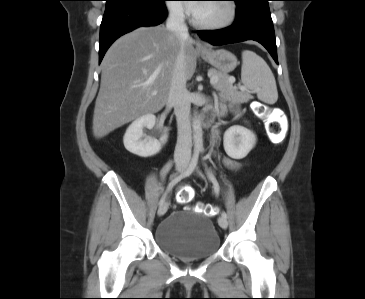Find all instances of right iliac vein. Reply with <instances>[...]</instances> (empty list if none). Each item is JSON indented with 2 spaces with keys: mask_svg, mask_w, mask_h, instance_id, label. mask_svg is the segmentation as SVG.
<instances>
[{
  "mask_svg": "<svg viewBox=\"0 0 365 299\" xmlns=\"http://www.w3.org/2000/svg\"><path fill=\"white\" fill-rule=\"evenodd\" d=\"M187 166V160L180 158L176 163V169L179 172H183L186 169ZM169 204L168 202H164L162 205H160L158 209V215L163 216L167 210H168Z\"/></svg>",
  "mask_w": 365,
  "mask_h": 299,
  "instance_id": "63e3f726",
  "label": "right iliac vein"
}]
</instances>
